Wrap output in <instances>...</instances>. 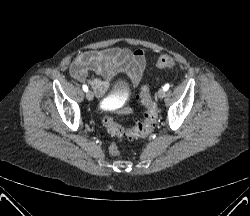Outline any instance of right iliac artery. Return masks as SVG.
Segmentation results:
<instances>
[{
  "label": "right iliac artery",
  "instance_id": "obj_1",
  "mask_svg": "<svg viewBox=\"0 0 250 216\" xmlns=\"http://www.w3.org/2000/svg\"><path fill=\"white\" fill-rule=\"evenodd\" d=\"M82 88H83V90H84L85 92L88 91V87H87L86 85H83Z\"/></svg>",
  "mask_w": 250,
  "mask_h": 216
}]
</instances>
